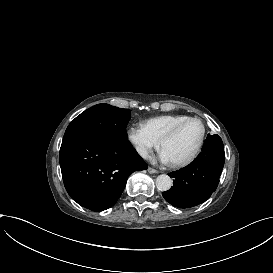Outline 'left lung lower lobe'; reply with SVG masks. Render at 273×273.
<instances>
[{
  "instance_id": "0a47b994",
  "label": "left lung lower lobe",
  "mask_w": 273,
  "mask_h": 273,
  "mask_svg": "<svg viewBox=\"0 0 273 273\" xmlns=\"http://www.w3.org/2000/svg\"><path fill=\"white\" fill-rule=\"evenodd\" d=\"M224 146L217 134H208L202 152L188 166L169 175L174 178L164 199L178 208H190L205 202L216 190L224 166Z\"/></svg>"
}]
</instances>
